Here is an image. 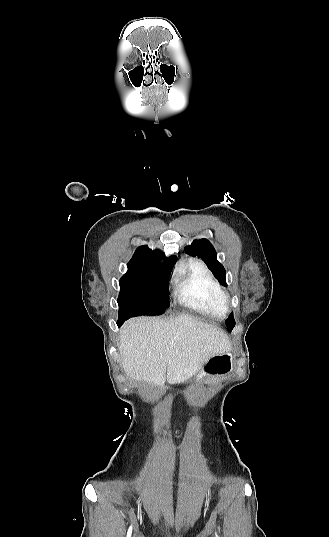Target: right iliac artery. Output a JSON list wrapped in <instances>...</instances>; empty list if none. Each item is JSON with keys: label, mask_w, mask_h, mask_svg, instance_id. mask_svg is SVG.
<instances>
[{"label": "right iliac artery", "mask_w": 329, "mask_h": 537, "mask_svg": "<svg viewBox=\"0 0 329 537\" xmlns=\"http://www.w3.org/2000/svg\"><path fill=\"white\" fill-rule=\"evenodd\" d=\"M131 534H132V526H130L128 532H127V537H131Z\"/></svg>", "instance_id": "right-iliac-artery-1"}]
</instances>
